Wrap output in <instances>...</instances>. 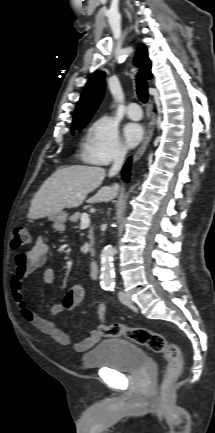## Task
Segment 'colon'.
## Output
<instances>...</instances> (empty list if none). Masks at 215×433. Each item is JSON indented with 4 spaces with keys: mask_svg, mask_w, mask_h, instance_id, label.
Masks as SVG:
<instances>
[{
    "mask_svg": "<svg viewBox=\"0 0 215 433\" xmlns=\"http://www.w3.org/2000/svg\"><path fill=\"white\" fill-rule=\"evenodd\" d=\"M32 242V235L27 226L18 223L14 226L11 245L15 249L25 247ZM98 332L103 337H125L138 345L160 353L167 361L163 385L167 387L182 369L181 350L177 344L168 343L164 336L146 328H131L124 324H100Z\"/></svg>",
    "mask_w": 215,
    "mask_h": 433,
    "instance_id": "colon-1",
    "label": "colon"
}]
</instances>
